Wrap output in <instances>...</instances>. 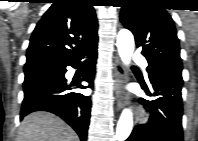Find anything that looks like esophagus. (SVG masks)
<instances>
[{
    "mask_svg": "<svg viewBox=\"0 0 198 141\" xmlns=\"http://www.w3.org/2000/svg\"><path fill=\"white\" fill-rule=\"evenodd\" d=\"M114 81H115V97L117 103V109L119 110L125 101V94L123 90L124 75L123 65L118 57L115 58L114 63Z\"/></svg>",
    "mask_w": 198,
    "mask_h": 141,
    "instance_id": "34e87169",
    "label": "esophagus"
}]
</instances>
